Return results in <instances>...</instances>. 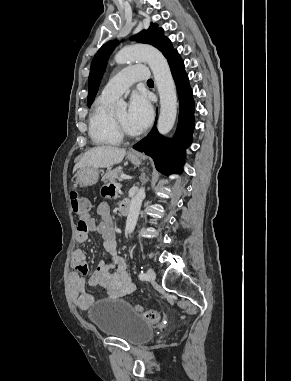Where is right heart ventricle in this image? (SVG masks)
I'll return each instance as SVG.
<instances>
[{
	"label": "right heart ventricle",
	"mask_w": 291,
	"mask_h": 381,
	"mask_svg": "<svg viewBox=\"0 0 291 381\" xmlns=\"http://www.w3.org/2000/svg\"><path fill=\"white\" fill-rule=\"evenodd\" d=\"M113 102L114 99L99 96L90 110L88 132L93 144L97 146H115L122 141L112 124Z\"/></svg>",
	"instance_id": "obj_1"
}]
</instances>
